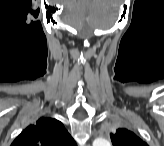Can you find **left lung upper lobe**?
I'll list each match as a JSON object with an SVG mask.
<instances>
[{"label": "left lung upper lobe", "instance_id": "obj_1", "mask_svg": "<svg viewBox=\"0 0 164 146\" xmlns=\"http://www.w3.org/2000/svg\"><path fill=\"white\" fill-rule=\"evenodd\" d=\"M114 146H146L135 133L125 128H119L110 134Z\"/></svg>", "mask_w": 164, "mask_h": 146}]
</instances>
